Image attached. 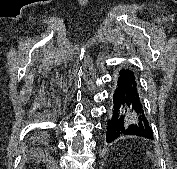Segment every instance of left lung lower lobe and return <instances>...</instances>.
<instances>
[{
  "label": "left lung lower lobe",
  "mask_w": 177,
  "mask_h": 169,
  "mask_svg": "<svg viewBox=\"0 0 177 169\" xmlns=\"http://www.w3.org/2000/svg\"><path fill=\"white\" fill-rule=\"evenodd\" d=\"M112 110V119L106 134L107 143L124 135H136L153 140V132L140 99L138 77L132 66H124L118 71ZM132 117L136 121L128 126L127 123Z\"/></svg>",
  "instance_id": "1"
}]
</instances>
